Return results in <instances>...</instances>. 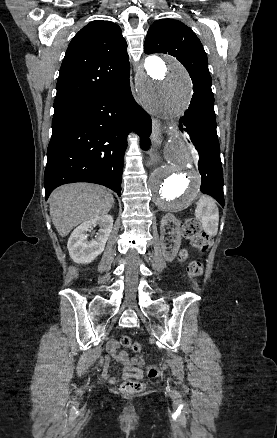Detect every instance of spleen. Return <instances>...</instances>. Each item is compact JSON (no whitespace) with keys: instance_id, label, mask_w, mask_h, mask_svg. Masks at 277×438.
I'll list each match as a JSON object with an SVG mask.
<instances>
[{"instance_id":"obj_1","label":"spleen","mask_w":277,"mask_h":438,"mask_svg":"<svg viewBox=\"0 0 277 438\" xmlns=\"http://www.w3.org/2000/svg\"><path fill=\"white\" fill-rule=\"evenodd\" d=\"M195 216L200 220L203 230L208 236H216L218 232L219 212L213 198L201 196L195 210Z\"/></svg>"}]
</instances>
